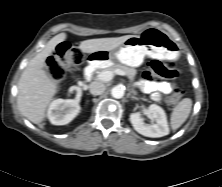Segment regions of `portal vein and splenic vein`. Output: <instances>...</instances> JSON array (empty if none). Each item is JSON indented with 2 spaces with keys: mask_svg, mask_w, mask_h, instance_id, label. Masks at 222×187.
Returning a JSON list of instances; mask_svg holds the SVG:
<instances>
[{
  "mask_svg": "<svg viewBox=\"0 0 222 187\" xmlns=\"http://www.w3.org/2000/svg\"><path fill=\"white\" fill-rule=\"evenodd\" d=\"M114 74H117V75H122L124 76L125 73L122 71V70H115L114 72H111V71H102L100 72L98 75H97V79L98 80H101V81H104V82H107V81H110L112 80Z\"/></svg>",
  "mask_w": 222,
  "mask_h": 187,
  "instance_id": "1",
  "label": "portal vein and splenic vein"
}]
</instances>
